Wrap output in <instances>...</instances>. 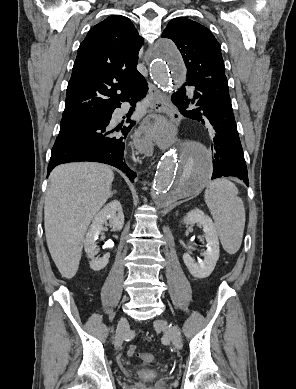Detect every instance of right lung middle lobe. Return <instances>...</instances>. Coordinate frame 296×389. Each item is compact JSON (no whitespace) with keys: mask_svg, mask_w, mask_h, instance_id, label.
<instances>
[{"mask_svg":"<svg viewBox=\"0 0 296 389\" xmlns=\"http://www.w3.org/2000/svg\"><path fill=\"white\" fill-rule=\"evenodd\" d=\"M96 116H83V117H74L62 119L60 123V132L59 134L67 133L75 129L87 126L94 122Z\"/></svg>","mask_w":296,"mask_h":389,"instance_id":"1","label":"right lung middle lobe"}]
</instances>
